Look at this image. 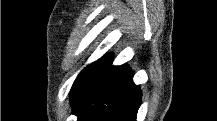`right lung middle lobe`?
<instances>
[{
  "mask_svg": "<svg viewBox=\"0 0 217 121\" xmlns=\"http://www.w3.org/2000/svg\"><path fill=\"white\" fill-rule=\"evenodd\" d=\"M96 63V62H95ZM92 63L89 66H87L77 77L76 81L74 82L73 86L90 70V68L95 64Z\"/></svg>",
  "mask_w": 217,
  "mask_h": 121,
  "instance_id": "dd1d6c3e",
  "label": "right lung middle lobe"
}]
</instances>
